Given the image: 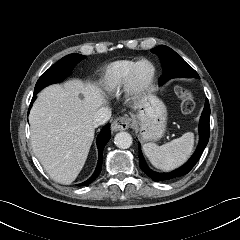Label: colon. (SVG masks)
I'll use <instances>...</instances> for the list:
<instances>
[{
  "instance_id": "5ec220e1",
  "label": "colon",
  "mask_w": 240,
  "mask_h": 240,
  "mask_svg": "<svg viewBox=\"0 0 240 240\" xmlns=\"http://www.w3.org/2000/svg\"><path fill=\"white\" fill-rule=\"evenodd\" d=\"M175 93L181 100L182 109L186 113H190L194 110L195 102L192 92L181 85L175 87Z\"/></svg>"
}]
</instances>
